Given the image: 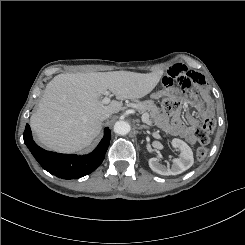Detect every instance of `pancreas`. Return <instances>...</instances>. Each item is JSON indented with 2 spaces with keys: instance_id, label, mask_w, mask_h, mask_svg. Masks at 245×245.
Wrapping results in <instances>:
<instances>
[{
  "instance_id": "pancreas-1",
  "label": "pancreas",
  "mask_w": 245,
  "mask_h": 245,
  "mask_svg": "<svg viewBox=\"0 0 245 245\" xmlns=\"http://www.w3.org/2000/svg\"><path fill=\"white\" fill-rule=\"evenodd\" d=\"M130 106H135L141 114L149 113L151 118L149 122H152L155 116L159 113V109L154 105L153 101H137L135 104H130Z\"/></svg>"
}]
</instances>
